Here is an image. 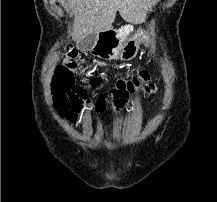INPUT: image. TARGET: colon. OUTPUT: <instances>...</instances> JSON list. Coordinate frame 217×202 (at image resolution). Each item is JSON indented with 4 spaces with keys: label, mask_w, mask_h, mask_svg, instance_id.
<instances>
[{
    "label": "colon",
    "mask_w": 217,
    "mask_h": 202,
    "mask_svg": "<svg viewBox=\"0 0 217 202\" xmlns=\"http://www.w3.org/2000/svg\"><path fill=\"white\" fill-rule=\"evenodd\" d=\"M76 55H82V50H77L76 47H68L67 59H61L60 63L65 64V67H56L52 80L61 81L54 83V102L61 107V111H77L80 108L81 100H89L90 96L86 94L85 89L79 88V82H72L73 78H80L81 74L77 72ZM137 74H140L142 81L148 80V75L144 69H137ZM139 79L118 80L112 87L101 90L91 91V96H95L94 109L99 112H104L108 108H114L116 112L126 108L129 95L134 92L139 86ZM146 92H156L155 86L143 85ZM71 105V106H69ZM99 112H91V117H99ZM58 117H78V112H58ZM72 125H77V120H72Z\"/></svg>",
    "instance_id": "5ec220e1"
}]
</instances>
